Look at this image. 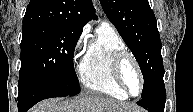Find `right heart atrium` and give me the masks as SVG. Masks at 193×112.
<instances>
[{"instance_id": "right-heart-atrium-1", "label": "right heart atrium", "mask_w": 193, "mask_h": 112, "mask_svg": "<svg viewBox=\"0 0 193 112\" xmlns=\"http://www.w3.org/2000/svg\"><path fill=\"white\" fill-rule=\"evenodd\" d=\"M86 37H87V29H83L78 37L76 38L73 49H72V60L73 63H76L83 53L84 47H85V42H86Z\"/></svg>"}]
</instances>
